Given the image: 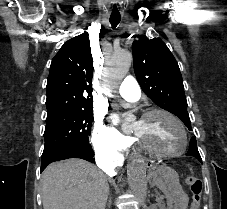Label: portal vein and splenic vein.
<instances>
[{
	"mask_svg": "<svg viewBox=\"0 0 227 209\" xmlns=\"http://www.w3.org/2000/svg\"><path fill=\"white\" fill-rule=\"evenodd\" d=\"M158 197H159L158 200L161 202L163 200V198H164V195L163 194H160Z\"/></svg>",
	"mask_w": 227,
	"mask_h": 209,
	"instance_id": "18ae733b",
	"label": "portal vein and splenic vein"
}]
</instances>
